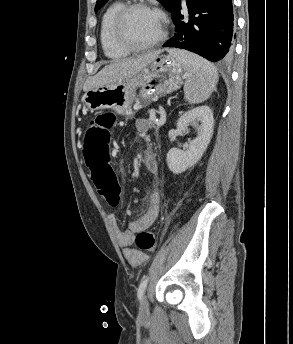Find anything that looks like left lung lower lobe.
Segmentation results:
<instances>
[{
	"label": "left lung lower lobe",
	"instance_id": "0a47b994",
	"mask_svg": "<svg viewBox=\"0 0 293 344\" xmlns=\"http://www.w3.org/2000/svg\"><path fill=\"white\" fill-rule=\"evenodd\" d=\"M181 2L172 15L176 33L163 47L186 49L212 62L231 61L235 38L232 0H186L188 21Z\"/></svg>",
	"mask_w": 293,
	"mask_h": 344
}]
</instances>
